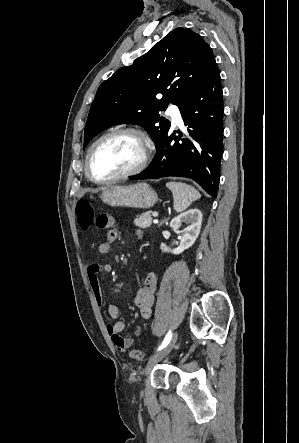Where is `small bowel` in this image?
Listing matches in <instances>:
<instances>
[{
  "label": "small bowel",
  "mask_w": 299,
  "mask_h": 443,
  "mask_svg": "<svg viewBox=\"0 0 299 443\" xmlns=\"http://www.w3.org/2000/svg\"><path fill=\"white\" fill-rule=\"evenodd\" d=\"M115 224L116 221L114 217L109 214H101L97 217V227L108 229L105 240L98 246V250L101 254H107L110 251L111 245L119 237L118 231L113 228ZM138 235H140V231H138ZM111 270L112 265L107 262L100 264L92 261L87 265L89 284L99 306L104 304L99 276L100 274L110 273ZM157 282V274L150 272L136 294L134 303L142 318L148 319L152 315ZM107 313L112 322L107 324L106 330L111 338L113 346L120 352L128 351L132 347L134 340L131 337H122L120 335L125 328V324L120 319L118 307L113 303H109L107 305Z\"/></svg>",
  "instance_id": "small-bowel-1"
}]
</instances>
